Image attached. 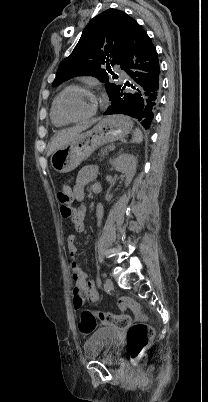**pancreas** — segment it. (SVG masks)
Returning <instances> with one entry per match:
<instances>
[{"mask_svg": "<svg viewBox=\"0 0 208 402\" xmlns=\"http://www.w3.org/2000/svg\"><path fill=\"white\" fill-rule=\"evenodd\" d=\"M111 146H107V148H103V150H101V152H99L98 156H105V154H107V152H109Z\"/></svg>", "mask_w": 208, "mask_h": 402, "instance_id": "cf45deb5", "label": "pancreas"}]
</instances>
